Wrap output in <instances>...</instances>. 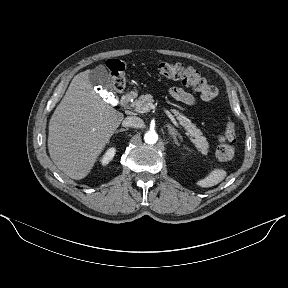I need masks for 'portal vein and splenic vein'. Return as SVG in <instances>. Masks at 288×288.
Masks as SVG:
<instances>
[{
    "label": "portal vein and splenic vein",
    "instance_id": "obj_1",
    "mask_svg": "<svg viewBox=\"0 0 288 288\" xmlns=\"http://www.w3.org/2000/svg\"><path fill=\"white\" fill-rule=\"evenodd\" d=\"M155 108H156V106L151 103V104H147L144 107L138 108V110H136V111L139 113H145V112H149L151 109H155ZM164 112L171 119L173 124L178 127V123L176 122L174 116L170 113V111L164 108Z\"/></svg>",
    "mask_w": 288,
    "mask_h": 288
}]
</instances>
